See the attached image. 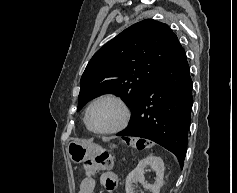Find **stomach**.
I'll list each match as a JSON object with an SVG mask.
<instances>
[{
	"instance_id": "0dacf381",
	"label": "stomach",
	"mask_w": 237,
	"mask_h": 193,
	"mask_svg": "<svg viewBox=\"0 0 237 193\" xmlns=\"http://www.w3.org/2000/svg\"><path fill=\"white\" fill-rule=\"evenodd\" d=\"M115 147L113 145V148ZM100 150L101 147L96 144L74 140L68 144L67 154L72 162L78 164L97 155Z\"/></svg>"
}]
</instances>
